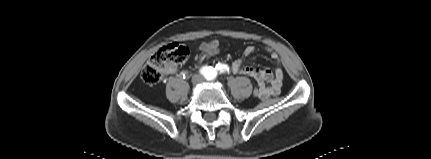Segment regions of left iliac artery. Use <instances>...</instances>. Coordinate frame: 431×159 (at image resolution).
I'll return each mask as SVG.
<instances>
[{
    "label": "left iliac artery",
    "instance_id": "1",
    "mask_svg": "<svg viewBox=\"0 0 431 159\" xmlns=\"http://www.w3.org/2000/svg\"><path fill=\"white\" fill-rule=\"evenodd\" d=\"M227 70H229L227 65L218 64L216 66V70L214 69V72H213L212 77L210 79H213L217 75V71H219L221 73V72H226ZM210 79L207 78V80H210Z\"/></svg>",
    "mask_w": 431,
    "mask_h": 159
}]
</instances>
